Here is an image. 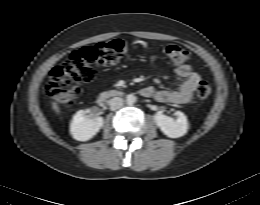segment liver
Here are the masks:
<instances>
[{
    "label": "liver",
    "instance_id": "liver-1",
    "mask_svg": "<svg viewBox=\"0 0 260 205\" xmlns=\"http://www.w3.org/2000/svg\"><path fill=\"white\" fill-rule=\"evenodd\" d=\"M52 107H53L54 111H55L57 114H60V110H59V107H58L57 103L52 102Z\"/></svg>",
    "mask_w": 260,
    "mask_h": 205
}]
</instances>
